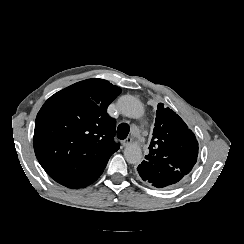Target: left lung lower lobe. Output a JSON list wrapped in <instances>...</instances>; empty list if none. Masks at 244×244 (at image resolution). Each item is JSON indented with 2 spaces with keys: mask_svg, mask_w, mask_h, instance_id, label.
<instances>
[{
  "mask_svg": "<svg viewBox=\"0 0 244 244\" xmlns=\"http://www.w3.org/2000/svg\"><path fill=\"white\" fill-rule=\"evenodd\" d=\"M147 163L151 164V162ZM137 171L142 180L158 188H163L175 184L185 176L175 172H161L159 168L146 167L143 165H139Z\"/></svg>",
  "mask_w": 244,
  "mask_h": 244,
  "instance_id": "left-lung-lower-lobe-1",
  "label": "left lung lower lobe"
}]
</instances>
